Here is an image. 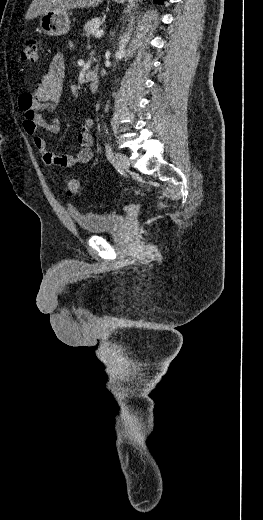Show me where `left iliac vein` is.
<instances>
[{
    "mask_svg": "<svg viewBox=\"0 0 263 520\" xmlns=\"http://www.w3.org/2000/svg\"><path fill=\"white\" fill-rule=\"evenodd\" d=\"M115 161L121 169L128 170L130 162L125 154L119 152L115 153Z\"/></svg>",
    "mask_w": 263,
    "mask_h": 520,
    "instance_id": "4c4485c4",
    "label": "left iliac vein"
}]
</instances>
